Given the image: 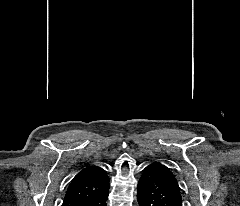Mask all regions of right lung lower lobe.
Here are the masks:
<instances>
[{"mask_svg": "<svg viewBox=\"0 0 240 206\" xmlns=\"http://www.w3.org/2000/svg\"><path fill=\"white\" fill-rule=\"evenodd\" d=\"M108 189L102 194L96 196L95 198L82 203L80 206H106V201L108 198Z\"/></svg>", "mask_w": 240, "mask_h": 206, "instance_id": "right-lung-lower-lobe-1", "label": "right lung lower lobe"}]
</instances>
